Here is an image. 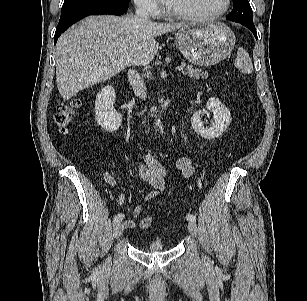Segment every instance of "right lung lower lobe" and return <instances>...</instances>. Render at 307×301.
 <instances>
[{"mask_svg": "<svg viewBox=\"0 0 307 301\" xmlns=\"http://www.w3.org/2000/svg\"><path fill=\"white\" fill-rule=\"evenodd\" d=\"M128 10V3L103 0L80 5L63 10L54 35V44L59 36L68 29L70 25L88 15L113 14L121 15Z\"/></svg>", "mask_w": 307, "mask_h": 301, "instance_id": "1", "label": "right lung lower lobe"}]
</instances>
